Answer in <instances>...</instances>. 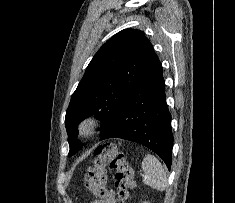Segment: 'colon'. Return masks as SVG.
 <instances>
[{
    "label": "colon",
    "mask_w": 235,
    "mask_h": 203,
    "mask_svg": "<svg viewBox=\"0 0 235 203\" xmlns=\"http://www.w3.org/2000/svg\"><path fill=\"white\" fill-rule=\"evenodd\" d=\"M109 170L114 172L118 188L116 203H125L134 187L133 169L114 144H102L95 149L93 163L84 177L85 185L97 198H102L107 192Z\"/></svg>",
    "instance_id": "obj_1"
}]
</instances>
